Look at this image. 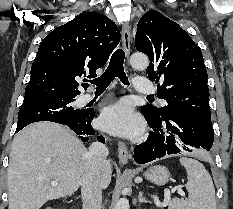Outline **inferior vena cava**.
<instances>
[{"label": "inferior vena cava", "instance_id": "602c4592", "mask_svg": "<svg viewBox=\"0 0 233 209\" xmlns=\"http://www.w3.org/2000/svg\"><path fill=\"white\" fill-rule=\"evenodd\" d=\"M108 153L105 145L94 142L85 154L86 168L81 182L83 209H101L100 173L102 166L107 162Z\"/></svg>", "mask_w": 233, "mask_h": 209}]
</instances>
